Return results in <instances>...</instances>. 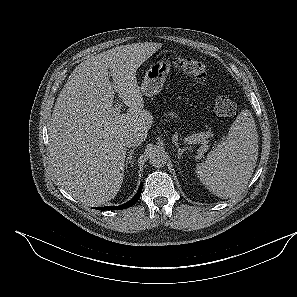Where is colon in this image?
<instances>
[{
	"instance_id": "5ec220e1",
	"label": "colon",
	"mask_w": 297,
	"mask_h": 297,
	"mask_svg": "<svg viewBox=\"0 0 297 297\" xmlns=\"http://www.w3.org/2000/svg\"><path fill=\"white\" fill-rule=\"evenodd\" d=\"M172 63L183 74L195 81H205L207 77V66L202 61L189 57H175ZM236 105L227 95L219 96L213 107V116L217 120H223L235 113Z\"/></svg>"
}]
</instances>
